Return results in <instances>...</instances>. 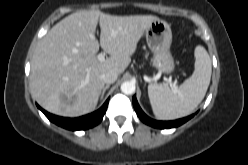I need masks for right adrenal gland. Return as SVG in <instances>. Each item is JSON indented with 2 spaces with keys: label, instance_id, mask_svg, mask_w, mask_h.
I'll return each mask as SVG.
<instances>
[{
  "label": "right adrenal gland",
  "instance_id": "obj_1",
  "mask_svg": "<svg viewBox=\"0 0 248 165\" xmlns=\"http://www.w3.org/2000/svg\"><path fill=\"white\" fill-rule=\"evenodd\" d=\"M110 87V85H106L105 87H103L101 93H100V99H102L104 97V94L106 92V90Z\"/></svg>",
  "mask_w": 248,
  "mask_h": 165
}]
</instances>
